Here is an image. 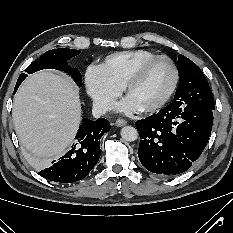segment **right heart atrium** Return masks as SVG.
<instances>
[{
  "instance_id": "d8ad5b80",
  "label": "right heart atrium",
  "mask_w": 233,
  "mask_h": 233,
  "mask_svg": "<svg viewBox=\"0 0 233 233\" xmlns=\"http://www.w3.org/2000/svg\"><path fill=\"white\" fill-rule=\"evenodd\" d=\"M87 92L94 107L99 111H107L121 91L106 73L102 65H90L85 72Z\"/></svg>"
}]
</instances>
